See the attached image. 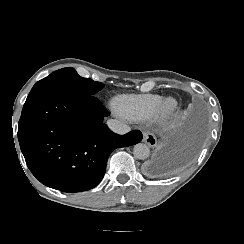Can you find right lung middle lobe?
Segmentation results:
<instances>
[{
  "label": "right lung middle lobe",
  "instance_id": "right-lung-middle-lobe-1",
  "mask_svg": "<svg viewBox=\"0 0 244 244\" xmlns=\"http://www.w3.org/2000/svg\"><path fill=\"white\" fill-rule=\"evenodd\" d=\"M104 85L91 79L83 78L73 68H62L38 81L31 92L37 90H66L84 96H94Z\"/></svg>",
  "mask_w": 244,
  "mask_h": 244
}]
</instances>
